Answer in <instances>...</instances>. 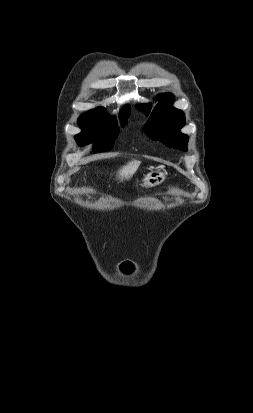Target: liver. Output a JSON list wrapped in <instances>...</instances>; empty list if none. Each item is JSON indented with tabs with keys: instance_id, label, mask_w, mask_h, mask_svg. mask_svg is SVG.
<instances>
[{
	"instance_id": "6515ba94",
	"label": "liver",
	"mask_w": 253,
	"mask_h": 413,
	"mask_svg": "<svg viewBox=\"0 0 253 413\" xmlns=\"http://www.w3.org/2000/svg\"><path fill=\"white\" fill-rule=\"evenodd\" d=\"M141 164V161L139 160H131L129 161L125 166H123L119 172L118 176L121 181L124 179L129 180L133 173L137 170L139 165Z\"/></svg>"
}]
</instances>
